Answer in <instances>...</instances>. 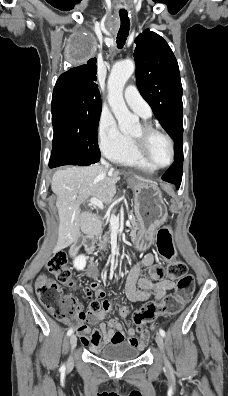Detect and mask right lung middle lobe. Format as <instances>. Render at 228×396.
Masks as SVG:
<instances>
[{"label":"right lung middle lobe","instance_id":"dd1d6c3e","mask_svg":"<svg viewBox=\"0 0 228 396\" xmlns=\"http://www.w3.org/2000/svg\"><path fill=\"white\" fill-rule=\"evenodd\" d=\"M77 57L91 54V44L79 42ZM54 129L51 158L69 165H90L100 159L97 129L102 110L101 100H90L66 88H54L52 97Z\"/></svg>","mask_w":228,"mask_h":396}]
</instances>
